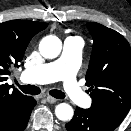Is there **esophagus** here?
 <instances>
[{"mask_svg":"<svg viewBox=\"0 0 131 131\" xmlns=\"http://www.w3.org/2000/svg\"><path fill=\"white\" fill-rule=\"evenodd\" d=\"M45 98H46V101L51 104L56 103L58 101L56 98L51 97V96H46Z\"/></svg>","mask_w":131,"mask_h":131,"instance_id":"obj_1","label":"esophagus"}]
</instances>
